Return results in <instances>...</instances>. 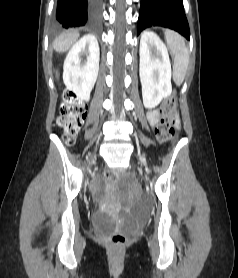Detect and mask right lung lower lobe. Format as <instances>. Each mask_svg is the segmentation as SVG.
Returning <instances> with one entry per match:
<instances>
[{"mask_svg":"<svg viewBox=\"0 0 238 278\" xmlns=\"http://www.w3.org/2000/svg\"><path fill=\"white\" fill-rule=\"evenodd\" d=\"M101 0H58L59 27L92 26L99 21Z\"/></svg>","mask_w":238,"mask_h":278,"instance_id":"98d812e1","label":"right lung lower lobe"}]
</instances>
